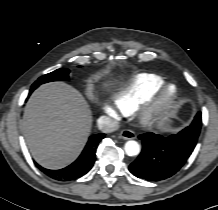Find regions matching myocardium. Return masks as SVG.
<instances>
[{
    "label": "myocardium",
    "instance_id": "1",
    "mask_svg": "<svg viewBox=\"0 0 218 210\" xmlns=\"http://www.w3.org/2000/svg\"><path fill=\"white\" fill-rule=\"evenodd\" d=\"M179 96L177 85L173 83L163 85L152 99L138 109L140 125L152 128L166 122L172 115Z\"/></svg>",
    "mask_w": 218,
    "mask_h": 210
}]
</instances>
